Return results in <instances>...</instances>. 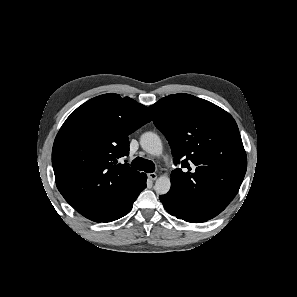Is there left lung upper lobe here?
Wrapping results in <instances>:
<instances>
[{"instance_id":"left-lung-upper-lobe-1","label":"left lung upper lobe","mask_w":297,"mask_h":297,"mask_svg":"<svg viewBox=\"0 0 297 297\" xmlns=\"http://www.w3.org/2000/svg\"><path fill=\"white\" fill-rule=\"evenodd\" d=\"M155 126L171 146L174 162L169 193L214 218L237 194L247 157L233 117L217 105L178 93L149 106Z\"/></svg>"}]
</instances>
